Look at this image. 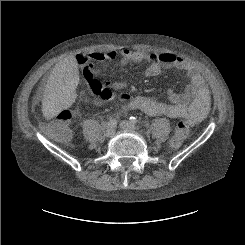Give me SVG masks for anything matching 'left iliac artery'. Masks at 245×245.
<instances>
[{
	"instance_id": "1",
	"label": "left iliac artery",
	"mask_w": 245,
	"mask_h": 245,
	"mask_svg": "<svg viewBox=\"0 0 245 245\" xmlns=\"http://www.w3.org/2000/svg\"><path fill=\"white\" fill-rule=\"evenodd\" d=\"M129 121H130L131 123H133V124L138 123V119H137L136 117H134V116H131V117L129 118Z\"/></svg>"
}]
</instances>
